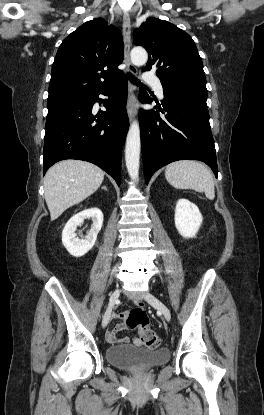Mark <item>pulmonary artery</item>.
<instances>
[{
    "label": "pulmonary artery",
    "instance_id": "pulmonary-artery-1",
    "mask_svg": "<svg viewBox=\"0 0 264 415\" xmlns=\"http://www.w3.org/2000/svg\"><path fill=\"white\" fill-rule=\"evenodd\" d=\"M143 79L145 82L147 83H151L155 89L156 94L158 95V97L163 98L164 93H163V87L160 83V81L155 78L154 76L150 75V74H144L143 75Z\"/></svg>",
    "mask_w": 264,
    "mask_h": 415
}]
</instances>
